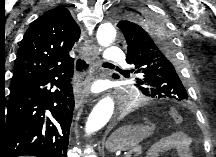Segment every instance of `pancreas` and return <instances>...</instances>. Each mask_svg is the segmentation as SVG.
Instances as JSON below:
<instances>
[{
	"mask_svg": "<svg viewBox=\"0 0 216 157\" xmlns=\"http://www.w3.org/2000/svg\"><path fill=\"white\" fill-rule=\"evenodd\" d=\"M133 152L136 153L134 157H138V154L141 153V148H137V149H135V150H133V151H130V152L128 153L127 157H132V153H133Z\"/></svg>",
	"mask_w": 216,
	"mask_h": 157,
	"instance_id": "1",
	"label": "pancreas"
}]
</instances>
